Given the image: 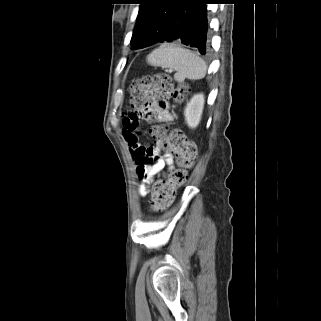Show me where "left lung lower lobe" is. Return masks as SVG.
<instances>
[{"instance_id": "left-lung-lower-lobe-1", "label": "left lung lower lobe", "mask_w": 321, "mask_h": 321, "mask_svg": "<svg viewBox=\"0 0 321 321\" xmlns=\"http://www.w3.org/2000/svg\"><path fill=\"white\" fill-rule=\"evenodd\" d=\"M212 0H178L165 27L163 42H178L201 54L209 52L206 4Z\"/></svg>"}]
</instances>
